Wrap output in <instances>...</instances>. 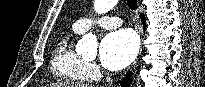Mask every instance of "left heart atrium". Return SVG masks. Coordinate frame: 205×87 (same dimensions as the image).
<instances>
[{"label": "left heart atrium", "instance_id": "obj_1", "mask_svg": "<svg viewBox=\"0 0 205 87\" xmlns=\"http://www.w3.org/2000/svg\"><path fill=\"white\" fill-rule=\"evenodd\" d=\"M137 35L130 29H120L105 36L100 46V59L111 70L129 65L138 53Z\"/></svg>", "mask_w": 205, "mask_h": 87}]
</instances>
